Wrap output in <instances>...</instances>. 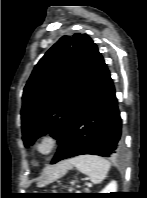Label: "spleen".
Wrapping results in <instances>:
<instances>
[{"mask_svg":"<svg viewBox=\"0 0 147 198\" xmlns=\"http://www.w3.org/2000/svg\"><path fill=\"white\" fill-rule=\"evenodd\" d=\"M76 169L90 177L94 184L101 183L110 169V162L96 155H81L72 159Z\"/></svg>","mask_w":147,"mask_h":198,"instance_id":"obj_1","label":"spleen"}]
</instances>
